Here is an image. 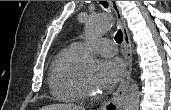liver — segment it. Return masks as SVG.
I'll list each match as a JSON object with an SVG mask.
<instances>
[{
    "instance_id": "1",
    "label": "liver",
    "mask_w": 171,
    "mask_h": 110,
    "mask_svg": "<svg viewBox=\"0 0 171 110\" xmlns=\"http://www.w3.org/2000/svg\"><path fill=\"white\" fill-rule=\"evenodd\" d=\"M41 110H84V109L71 104H52L42 107Z\"/></svg>"
}]
</instances>
